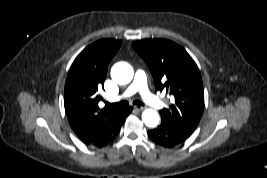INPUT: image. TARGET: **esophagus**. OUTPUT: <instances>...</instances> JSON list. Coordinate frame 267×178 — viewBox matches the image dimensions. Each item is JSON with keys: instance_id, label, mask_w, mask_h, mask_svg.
I'll list each match as a JSON object with an SVG mask.
<instances>
[{"instance_id": "obj_1", "label": "esophagus", "mask_w": 267, "mask_h": 178, "mask_svg": "<svg viewBox=\"0 0 267 178\" xmlns=\"http://www.w3.org/2000/svg\"><path fill=\"white\" fill-rule=\"evenodd\" d=\"M134 109L137 110V111H143L145 109V107H143V106H135Z\"/></svg>"}]
</instances>
